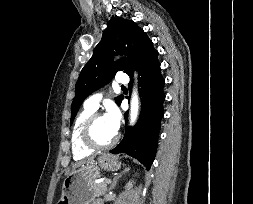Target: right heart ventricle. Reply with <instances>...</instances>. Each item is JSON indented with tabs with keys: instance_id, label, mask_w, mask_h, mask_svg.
Returning <instances> with one entry per match:
<instances>
[{
	"instance_id": "e07e8e85",
	"label": "right heart ventricle",
	"mask_w": 253,
	"mask_h": 204,
	"mask_svg": "<svg viewBox=\"0 0 253 204\" xmlns=\"http://www.w3.org/2000/svg\"><path fill=\"white\" fill-rule=\"evenodd\" d=\"M95 112L94 109L84 106V108L77 115L71 135V148L73 158L75 160H81L89 157L94 150L85 146L82 141V129L86 120Z\"/></svg>"
}]
</instances>
